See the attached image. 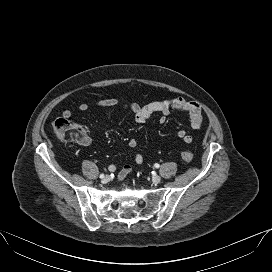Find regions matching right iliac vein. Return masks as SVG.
I'll use <instances>...</instances> for the list:
<instances>
[{
	"label": "right iliac vein",
	"mask_w": 272,
	"mask_h": 272,
	"mask_svg": "<svg viewBox=\"0 0 272 272\" xmlns=\"http://www.w3.org/2000/svg\"><path fill=\"white\" fill-rule=\"evenodd\" d=\"M110 181V176L106 175L103 179H102V183H108Z\"/></svg>",
	"instance_id": "1"
}]
</instances>
